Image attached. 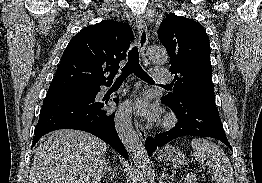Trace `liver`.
Returning <instances> with one entry per match:
<instances>
[{"label":"liver","instance_id":"1","mask_svg":"<svg viewBox=\"0 0 262 183\" xmlns=\"http://www.w3.org/2000/svg\"><path fill=\"white\" fill-rule=\"evenodd\" d=\"M107 144L79 130H57L34 154L29 183H99Z\"/></svg>","mask_w":262,"mask_h":183}]
</instances>
